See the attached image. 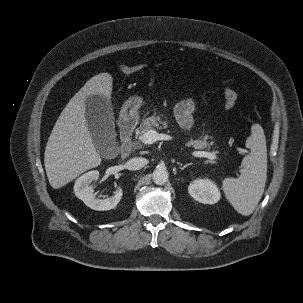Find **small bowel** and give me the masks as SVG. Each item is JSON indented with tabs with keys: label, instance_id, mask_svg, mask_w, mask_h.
Segmentation results:
<instances>
[{
	"label": "small bowel",
	"instance_id": "small-bowel-1",
	"mask_svg": "<svg viewBox=\"0 0 303 303\" xmlns=\"http://www.w3.org/2000/svg\"><path fill=\"white\" fill-rule=\"evenodd\" d=\"M195 111V103L191 99H187L178 103L175 107V117L184 129H191L193 126V114Z\"/></svg>",
	"mask_w": 303,
	"mask_h": 303
}]
</instances>
